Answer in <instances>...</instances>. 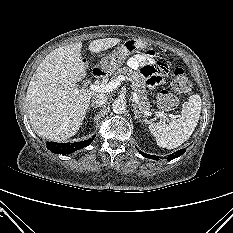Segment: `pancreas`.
<instances>
[{"mask_svg": "<svg viewBox=\"0 0 233 233\" xmlns=\"http://www.w3.org/2000/svg\"><path fill=\"white\" fill-rule=\"evenodd\" d=\"M121 74H126L128 76V80L131 82L132 88L138 96L141 107L144 110H149L151 105L147 101L144 78L136 71H133L127 67H123L117 69V71L114 73L113 79H116Z\"/></svg>", "mask_w": 233, "mask_h": 233, "instance_id": "1", "label": "pancreas"}]
</instances>
